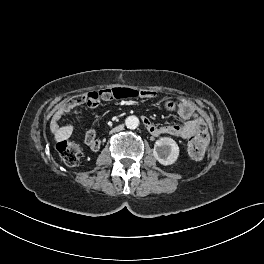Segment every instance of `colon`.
<instances>
[{
	"label": "colon",
	"instance_id": "colon-1",
	"mask_svg": "<svg viewBox=\"0 0 264 264\" xmlns=\"http://www.w3.org/2000/svg\"><path fill=\"white\" fill-rule=\"evenodd\" d=\"M137 95V92L130 89H105L100 91H93L87 93L84 98L90 105H97L101 101H111L114 99H123V98H131ZM80 98L73 97L71 101L77 102ZM193 119H198V114L196 112L192 113ZM209 141V136L207 131L203 126L199 128V130L192 136L188 143L187 149L191 157L199 159L201 158L205 150L207 148ZM56 149L62 158V160L69 166L76 165L81 157L82 150L80 146L76 143L69 142L66 140L60 141L56 145Z\"/></svg>",
	"mask_w": 264,
	"mask_h": 264
}]
</instances>
